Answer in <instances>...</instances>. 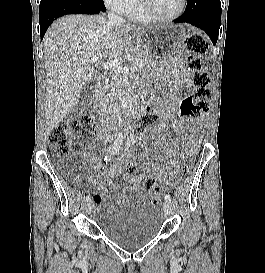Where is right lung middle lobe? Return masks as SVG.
<instances>
[{
  "label": "right lung middle lobe",
  "instance_id": "1",
  "mask_svg": "<svg viewBox=\"0 0 265 273\" xmlns=\"http://www.w3.org/2000/svg\"><path fill=\"white\" fill-rule=\"evenodd\" d=\"M41 1H44V0H41ZM65 1L76 2L79 4H94L102 8L103 10H106L103 0H65Z\"/></svg>",
  "mask_w": 265,
  "mask_h": 273
}]
</instances>
